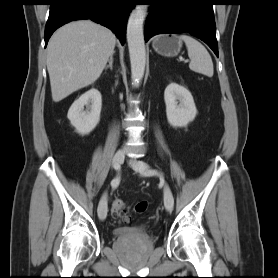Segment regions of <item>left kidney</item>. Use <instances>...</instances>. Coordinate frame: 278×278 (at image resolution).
<instances>
[{
	"instance_id": "5707ae66",
	"label": "left kidney",
	"mask_w": 278,
	"mask_h": 278,
	"mask_svg": "<svg viewBox=\"0 0 278 278\" xmlns=\"http://www.w3.org/2000/svg\"><path fill=\"white\" fill-rule=\"evenodd\" d=\"M166 115L169 124L173 127H185L192 122L197 114L193 97L188 89L170 83L164 91Z\"/></svg>"
}]
</instances>
